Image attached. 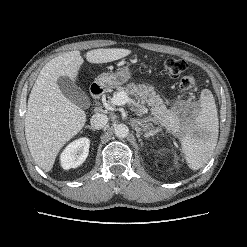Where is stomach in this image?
Masks as SVG:
<instances>
[{
	"label": "stomach",
	"instance_id": "obj_1",
	"mask_svg": "<svg viewBox=\"0 0 247 247\" xmlns=\"http://www.w3.org/2000/svg\"><path fill=\"white\" fill-rule=\"evenodd\" d=\"M131 78V70L129 67L121 68L115 73H102L96 79L95 83L100 87L105 89L116 88L124 84ZM173 114V113H172ZM174 126H171L169 129L176 133L179 136H183L188 132L193 125V120H187L184 117H179L173 114ZM148 130V127L145 128Z\"/></svg>",
	"mask_w": 247,
	"mask_h": 247
}]
</instances>
